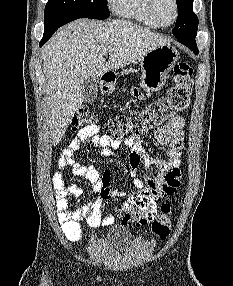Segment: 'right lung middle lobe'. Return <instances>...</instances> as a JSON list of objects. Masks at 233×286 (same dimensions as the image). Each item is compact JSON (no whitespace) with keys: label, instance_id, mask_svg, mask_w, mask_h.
Here are the masks:
<instances>
[{"label":"right lung middle lobe","instance_id":"1","mask_svg":"<svg viewBox=\"0 0 233 286\" xmlns=\"http://www.w3.org/2000/svg\"><path fill=\"white\" fill-rule=\"evenodd\" d=\"M109 14L106 0H48L44 22L49 23L64 15L103 20Z\"/></svg>","mask_w":233,"mask_h":286}]
</instances>
